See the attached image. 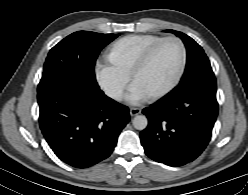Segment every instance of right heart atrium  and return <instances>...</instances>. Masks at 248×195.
<instances>
[{
  "instance_id": "right-heart-atrium-1",
  "label": "right heart atrium",
  "mask_w": 248,
  "mask_h": 195,
  "mask_svg": "<svg viewBox=\"0 0 248 195\" xmlns=\"http://www.w3.org/2000/svg\"><path fill=\"white\" fill-rule=\"evenodd\" d=\"M98 78L101 85L109 91H119L126 86V78L116 71L112 63L99 69Z\"/></svg>"
}]
</instances>
